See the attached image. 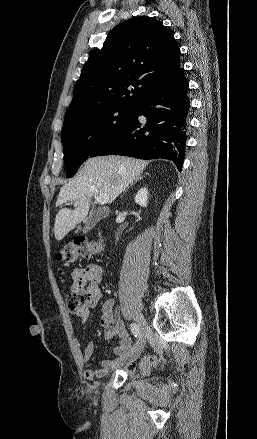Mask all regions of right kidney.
Here are the masks:
<instances>
[{"label": "right kidney", "mask_w": 257, "mask_h": 439, "mask_svg": "<svg viewBox=\"0 0 257 439\" xmlns=\"http://www.w3.org/2000/svg\"><path fill=\"white\" fill-rule=\"evenodd\" d=\"M135 202L139 204L142 207H147L148 204V190L147 188H141L136 196H135Z\"/></svg>", "instance_id": "ca27d5eb"}]
</instances>
